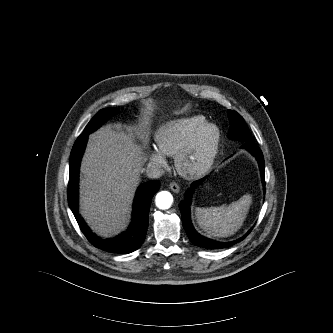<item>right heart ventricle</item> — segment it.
Here are the masks:
<instances>
[{
    "label": "right heart ventricle",
    "instance_id": "1",
    "mask_svg": "<svg viewBox=\"0 0 333 333\" xmlns=\"http://www.w3.org/2000/svg\"><path fill=\"white\" fill-rule=\"evenodd\" d=\"M206 122L203 115H192L161 125L155 132L157 149L165 156L176 157Z\"/></svg>",
    "mask_w": 333,
    "mask_h": 333
}]
</instances>
